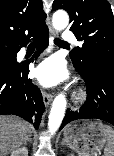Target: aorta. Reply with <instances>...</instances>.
<instances>
[{
  "label": "aorta",
  "instance_id": "762f6f07",
  "mask_svg": "<svg viewBox=\"0 0 114 156\" xmlns=\"http://www.w3.org/2000/svg\"><path fill=\"white\" fill-rule=\"evenodd\" d=\"M53 26L56 30H63L69 23V16L63 10H58L53 14ZM66 97L64 94H58L52 104L51 112L48 119V129L53 134L60 127L66 110Z\"/></svg>",
  "mask_w": 114,
  "mask_h": 156
}]
</instances>
